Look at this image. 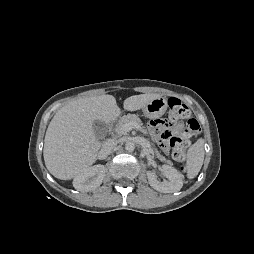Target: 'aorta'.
<instances>
[{"mask_svg":"<svg viewBox=\"0 0 254 254\" xmlns=\"http://www.w3.org/2000/svg\"><path fill=\"white\" fill-rule=\"evenodd\" d=\"M125 149H126L128 152H132V151H134V149H135V144H134L133 142H131V141H128V142H126V144H125Z\"/></svg>","mask_w":254,"mask_h":254,"instance_id":"aorta-1","label":"aorta"}]
</instances>
